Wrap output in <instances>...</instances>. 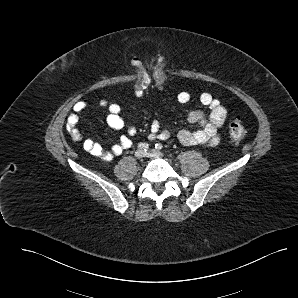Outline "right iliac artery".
<instances>
[{
    "instance_id": "right-iliac-artery-1",
    "label": "right iliac artery",
    "mask_w": 298,
    "mask_h": 298,
    "mask_svg": "<svg viewBox=\"0 0 298 298\" xmlns=\"http://www.w3.org/2000/svg\"><path fill=\"white\" fill-rule=\"evenodd\" d=\"M138 148L146 152L149 149V145L147 143H139Z\"/></svg>"
}]
</instances>
